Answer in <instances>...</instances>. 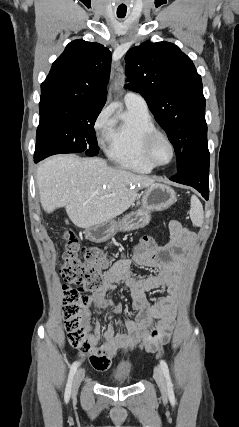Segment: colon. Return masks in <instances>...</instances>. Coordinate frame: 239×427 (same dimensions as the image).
Returning <instances> with one entry per match:
<instances>
[{"label":"colon","mask_w":239,"mask_h":427,"mask_svg":"<svg viewBox=\"0 0 239 427\" xmlns=\"http://www.w3.org/2000/svg\"><path fill=\"white\" fill-rule=\"evenodd\" d=\"M64 238L66 250L61 267L65 283L62 298L64 325L70 344L87 353L91 349V300L85 292L95 291L102 285L103 270L109 265L110 258L98 248H84L72 232H65ZM155 248L153 236L144 235L140 238V250L152 251ZM71 284L77 287H71ZM156 336L157 332L154 331L152 337Z\"/></svg>","instance_id":"colon-1"}]
</instances>
